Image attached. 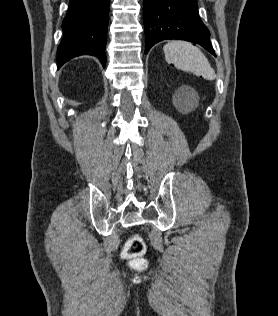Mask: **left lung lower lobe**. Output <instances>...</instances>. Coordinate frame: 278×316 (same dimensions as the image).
I'll return each instance as SVG.
<instances>
[{"mask_svg": "<svg viewBox=\"0 0 278 316\" xmlns=\"http://www.w3.org/2000/svg\"><path fill=\"white\" fill-rule=\"evenodd\" d=\"M143 19L145 53L162 40L179 39L199 44L216 56L195 0H144Z\"/></svg>", "mask_w": 278, "mask_h": 316, "instance_id": "0a47b994", "label": "left lung lower lobe"}]
</instances>
